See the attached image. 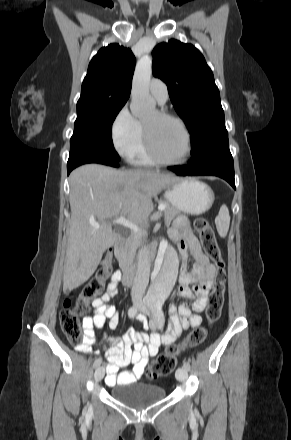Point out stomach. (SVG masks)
Here are the masks:
<instances>
[{
  "mask_svg": "<svg viewBox=\"0 0 291 440\" xmlns=\"http://www.w3.org/2000/svg\"><path fill=\"white\" fill-rule=\"evenodd\" d=\"M167 202L179 211L201 215L208 211L215 200L213 190L193 178L178 179L165 188Z\"/></svg>",
  "mask_w": 291,
  "mask_h": 440,
  "instance_id": "0dacf381",
  "label": "stomach"
}]
</instances>
